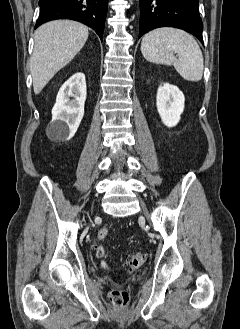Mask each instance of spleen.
I'll list each match as a JSON object with an SVG mask.
<instances>
[{
    "label": "spleen",
    "mask_w": 240,
    "mask_h": 329,
    "mask_svg": "<svg viewBox=\"0 0 240 329\" xmlns=\"http://www.w3.org/2000/svg\"><path fill=\"white\" fill-rule=\"evenodd\" d=\"M144 58L157 64L173 65L187 81L202 79L204 61L196 40L180 29L163 27L148 32L142 39ZM177 53V57L173 55Z\"/></svg>",
    "instance_id": "obj_1"
}]
</instances>
